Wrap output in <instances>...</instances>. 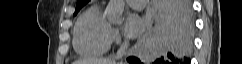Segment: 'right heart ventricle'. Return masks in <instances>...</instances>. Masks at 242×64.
<instances>
[{"instance_id": "1", "label": "right heart ventricle", "mask_w": 242, "mask_h": 64, "mask_svg": "<svg viewBox=\"0 0 242 64\" xmlns=\"http://www.w3.org/2000/svg\"><path fill=\"white\" fill-rule=\"evenodd\" d=\"M110 29L101 7L90 6L79 16L74 25L72 44L75 52L85 58L103 55L110 47Z\"/></svg>"}]
</instances>
